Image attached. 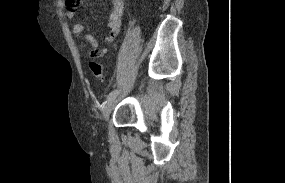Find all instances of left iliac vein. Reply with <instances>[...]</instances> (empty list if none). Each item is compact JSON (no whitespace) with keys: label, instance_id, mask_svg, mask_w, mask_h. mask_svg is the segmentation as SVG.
Here are the masks:
<instances>
[{"label":"left iliac vein","instance_id":"1","mask_svg":"<svg viewBox=\"0 0 285 183\" xmlns=\"http://www.w3.org/2000/svg\"><path fill=\"white\" fill-rule=\"evenodd\" d=\"M117 101H118V99H117V95H116L115 97L108 100V102L104 106V108L102 110V116H103L104 121H107L109 119V116H110L114 106L116 105Z\"/></svg>","mask_w":285,"mask_h":183}]
</instances>
